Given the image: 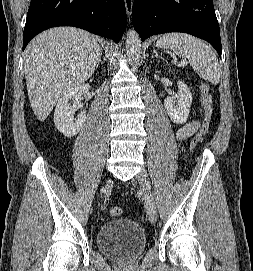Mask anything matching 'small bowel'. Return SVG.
Wrapping results in <instances>:
<instances>
[{
    "label": "small bowel",
    "mask_w": 253,
    "mask_h": 271,
    "mask_svg": "<svg viewBox=\"0 0 253 271\" xmlns=\"http://www.w3.org/2000/svg\"><path fill=\"white\" fill-rule=\"evenodd\" d=\"M200 122L197 118L190 120L189 122L183 124L177 131H176V138L179 141H184L191 137L196 131L199 129Z\"/></svg>",
    "instance_id": "small-bowel-1"
}]
</instances>
